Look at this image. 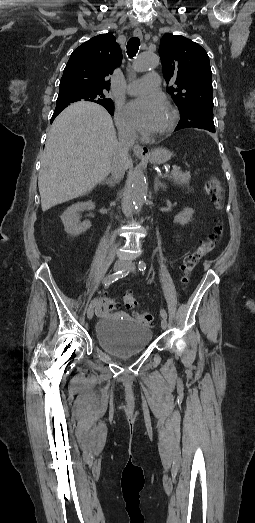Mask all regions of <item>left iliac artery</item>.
I'll list each match as a JSON object with an SVG mask.
<instances>
[{"mask_svg":"<svg viewBox=\"0 0 255 523\" xmlns=\"http://www.w3.org/2000/svg\"><path fill=\"white\" fill-rule=\"evenodd\" d=\"M138 269L140 271H145L146 270V263L144 261H139ZM160 315L162 316V318L167 319V313H166V311L164 309L160 310Z\"/></svg>","mask_w":255,"mask_h":523,"instance_id":"left-iliac-artery-1","label":"left iliac artery"}]
</instances>
